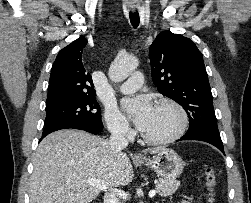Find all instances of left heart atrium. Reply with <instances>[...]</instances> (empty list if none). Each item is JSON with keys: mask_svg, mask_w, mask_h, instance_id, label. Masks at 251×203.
I'll list each match as a JSON object with an SVG mask.
<instances>
[{"mask_svg": "<svg viewBox=\"0 0 251 203\" xmlns=\"http://www.w3.org/2000/svg\"><path fill=\"white\" fill-rule=\"evenodd\" d=\"M123 107L132 118L136 127L141 131L147 128L155 108L150 97L146 95L125 99Z\"/></svg>", "mask_w": 251, "mask_h": 203, "instance_id": "1", "label": "left heart atrium"}]
</instances>
